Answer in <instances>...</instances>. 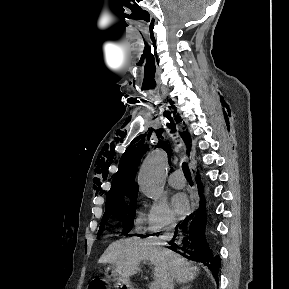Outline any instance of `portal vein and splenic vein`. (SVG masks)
Masks as SVG:
<instances>
[{"mask_svg":"<svg viewBox=\"0 0 289 289\" xmlns=\"http://www.w3.org/2000/svg\"><path fill=\"white\" fill-rule=\"evenodd\" d=\"M150 289H159V284L157 281L152 282Z\"/></svg>","mask_w":289,"mask_h":289,"instance_id":"obj_1","label":"portal vein and splenic vein"}]
</instances>
